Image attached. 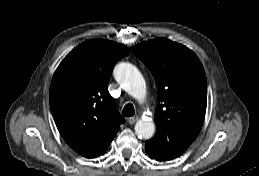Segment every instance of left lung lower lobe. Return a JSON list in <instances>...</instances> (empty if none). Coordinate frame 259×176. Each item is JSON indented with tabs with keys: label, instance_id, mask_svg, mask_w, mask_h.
<instances>
[{
	"label": "left lung lower lobe",
	"instance_id": "1",
	"mask_svg": "<svg viewBox=\"0 0 259 176\" xmlns=\"http://www.w3.org/2000/svg\"><path fill=\"white\" fill-rule=\"evenodd\" d=\"M148 154V153H147ZM150 158L152 159H156L158 161H165V160H161L159 157H153L151 154H148Z\"/></svg>",
	"mask_w": 259,
	"mask_h": 176
}]
</instances>
